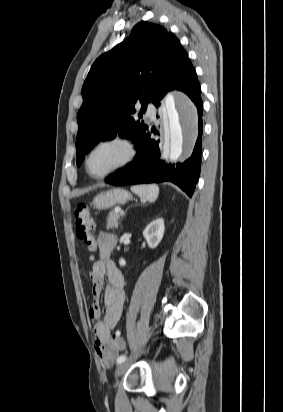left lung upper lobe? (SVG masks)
I'll list each match as a JSON object with an SVG mask.
<instances>
[{"label":"left lung upper lobe","mask_w":283,"mask_h":412,"mask_svg":"<svg viewBox=\"0 0 283 412\" xmlns=\"http://www.w3.org/2000/svg\"><path fill=\"white\" fill-rule=\"evenodd\" d=\"M194 68L179 40L166 29L146 21L130 36L101 55L82 87L83 104L77 115L76 160L80 166L99 140L132 139L148 125L133 117L147 104L156 107L168 90Z\"/></svg>","instance_id":"5c2ea615"}]
</instances>
